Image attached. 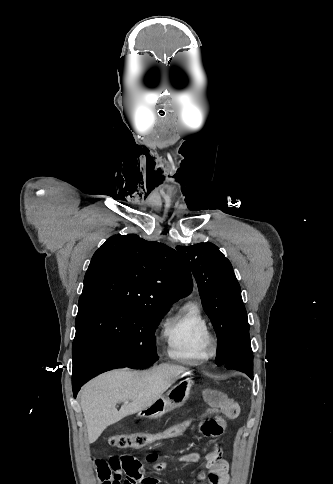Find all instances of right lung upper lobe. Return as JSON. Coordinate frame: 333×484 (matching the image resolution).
Returning a JSON list of instances; mask_svg holds the SVG:
<instances>
[{
	"label": "right lung upper lobe",
	"mask_w": 333,
	"mask_h": 484,
	"mask_svg": "<svg viewBox=\"0 0 333 484\" xmlns=\"http://www.w3.org/2000/svg\"><path fill=\"white\" fill-rule=\"evenodd\" d=\"M191 289L190 271L174 249L136 234L114 235L94 253L78 306L110 303L166 312Z\"/></svg>",
	"instance_id": "right-lung-upper-lobe-1"
}]
</instances>
